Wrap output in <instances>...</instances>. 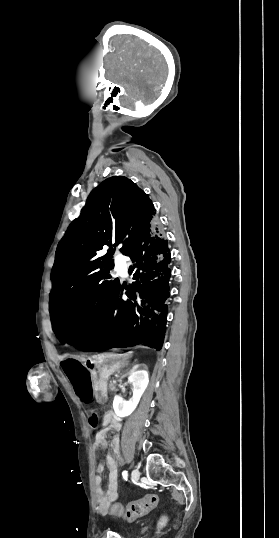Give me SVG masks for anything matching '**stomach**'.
<instances>
[{
	"mask_svg": "<svg viewBox=\"0 0 279 538\" xmlns=\"http://www.w3.org/2000/svg\"><path fill=\"white\" fill-rule=\"evenodd\" d=\"M130 357L128 353H97L96 361L100 365V374L97 379L94 380L93 385L96 389V397L102 401V405H105V399L107 397L106 384L111 381L112 374H118L119 368L128 364Z\"/></svg>",
	"mask_w": 279,
	"mask_h": 538,
	"instance_id": "0dacf381",
	"label": "stomach"
}]
</instances>
